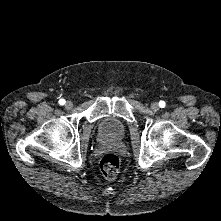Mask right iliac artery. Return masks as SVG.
<instances>
[{
    "label": "right iliac artery",
    "instance_id": "right-iliac-artery-1",
    "mask_svg": "<svg viewBox=\"0 0 221 221\" xmlns=\"http://www.w3.org/2000/svg\"><path fill=\"white\" fill-rule=\"evenodd\" d=\"M59 104H60V105H64V104H65V100H64V99H60V100H59Z\"/></svg>",
    "mask_w": 221,
    "mask_h": 221
}]
</instances>
